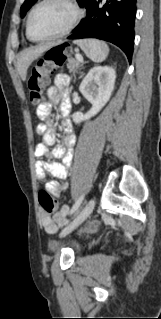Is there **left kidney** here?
<instances>
[{
  "label": "left kidney",
  "instance_id": "5707ae66",
  "mask_svg": "<svg viewBox=\"0 0 161 319\" xmlns=\"http://www.w3.org/2000/svg\"><path fill=\"white\" fill-rule=\"evenodd\" d=\"M116 79V72L109 66H96L89 70L82 80L79 90L92 104L86 113L75 112L72 116L76 124L95 116L109 101Z\"/></svg>",
  "mask_w": 161,
  "mask_h": 319
}]
</instances>
